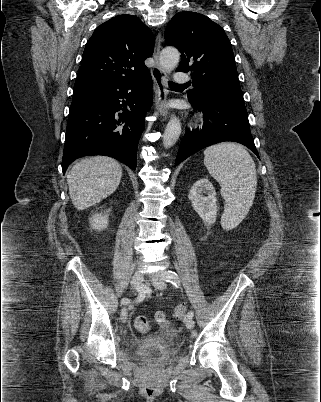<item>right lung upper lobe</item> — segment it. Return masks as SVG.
Wrapping results in <instances>:
<instances>
[{"label": "right lung upper lobe", "instance_id": "obj_1", "mask_svg": "<svg viewBox=\"0 0 321 402\" xmlns=\"http://www.w3.org/2000/svg\"><path fill=\"white\" fill-rule=\"evenodd\" d=\"M153 50V34L138 17H113L87 42L74 88L142 78L150 74L144 61Z\"/></svg>", "mask_w": 321, "mask_h": 402}]
</instances>
